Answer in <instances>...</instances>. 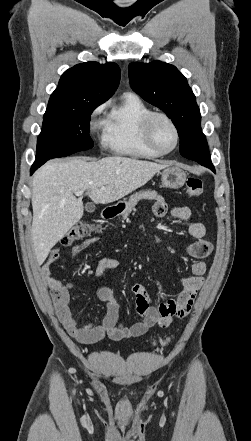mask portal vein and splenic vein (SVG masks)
Segmentation results:
<instances>
[{"label": "portal vein and splenic vein", "instance_id": "1", "mask_svg": "<svg viewBox=\"0 0 251 441\" xmlns=\"http://www.w3.org/2000/svg\"><path fill=\"white\" fill-rule=\"evenodd\" d=\"M101 189H102V190H105V187L102 186ZM83 193H84V191H77V192H75V195H76V196H81Z\"/></svg>", "mask_w": 251, "mask_h": 441}]
</instances>
